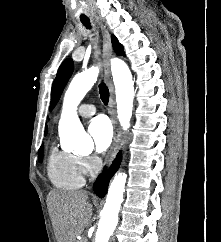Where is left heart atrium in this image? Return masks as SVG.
Returning <instances> with one entry per match:
<instances>
[{
	"label": "left heart atrium",
	"instance_id": "obj_1",
	"mask_svg": "<svg viewBox=\"0 0 221 242\" xmlns=\"http://www.w3.org/2000/svg\"><path fill=\"white\" fill-rule=\"evenodd\" d=\"M88 133L97 152H104L110 146L113 130L105 116L100 115L92 119L88 126Z\"/></svg>",
	"mask_w": 221,
	"mask_h": 242
}]
</instances>
